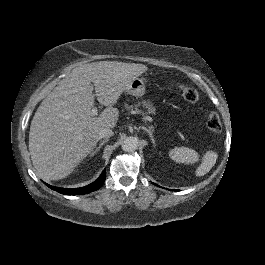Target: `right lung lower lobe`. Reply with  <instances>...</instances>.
<instances>
[{
  "mask_svg": "<svg viewBox=\"0 0 265 265\" xmlns=\"http://www.w3.org/2000/svg\"><path fill=\"white\" fill-rule=\"evenodd\" d=\"M105 178H106V172L104 169V171L101 173L100 177L96 181L84 187L69 189V188L54 187L46 183L45 185L64 195H82L99 189L103 185Z\"/></svg>",
  "mask_w": 265,
  "mask_h": 265,
  "instance_id": "obj_1",
  "label": "right lung lower lobe"
}]
</instances>
